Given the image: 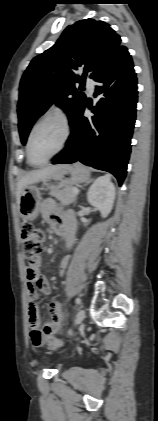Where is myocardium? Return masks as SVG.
I'll return each instance as SVG.
<instances>
[{
    "mask_svg": "<svg viewBox=\"0 0 158 421\" xmlns=\"http://www.w3.org/2000/svg\"><path fill=\"white\" fill-rule=\"evenodd\" d=\"M49 119H54V120H58L62 127H63V139L62 142L60 144V146L58 147V149L51 155L49 156L47 159H45L42 162L39 163H35L32 161L31 159V155H30V144H31V139L33 136V133L35 131V129L44 121L49 120ZM71 136V124L70 121L68 119V117L59 111H49L45 114H43L41 117H39L35 123L32 125L28 137H27V142H26V154H27V159L28 162L33 165V166H42L47 164L51 159H53L55 156H57L61 151H63V149L66 147L69 139Z\"/></svg>",
    "mask_w": 158,
    "mask_h": 421,
    "instance_id": "f54148a6",
    "label": "myocardium"
}]
</instances>
